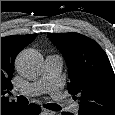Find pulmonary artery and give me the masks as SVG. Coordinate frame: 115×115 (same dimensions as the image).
Instances as JSON below:
<instances>
[{"label": "pulmonary artery", "mask_w": 115, "mask_h": 115, "mask_svg": "<svg viewBox=\"0 0 115 115\" xmlns=\"http://www.w3.org/2000/svg\"><path fill=\"white\" fill-rule=\"evenodd\" d=\"M62 65L63 60L59 55L47 56L40 79L24 87L21 90V94L25 96H36L42 93H50L55 100L64 102L67 110L77 111L79 105L65 100L59 91V76Z\"/></svg>", "instance_id": "pulmonary-artery-1"}]
</instances>
